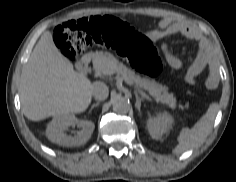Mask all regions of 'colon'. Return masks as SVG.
Masks as SVG:
<instances>
[{"instance_id": "obj_1", "label": "colon", "mask_w": 236, "mask_h": 182, "mask_svg": "<svg viewBox=\"0 0 236 182\" xmlns=\"http://www.w3.org/2000/svg\"><path fill=\"white\" fill-rule=\"evenodd\" d=\"M54 39L62 53L72 60L86 48L102 45L115 49L144 75L156 77L162 70L153 43L116 17H90L64 22L54 29Z\"/></svg>"}]
</instances>
